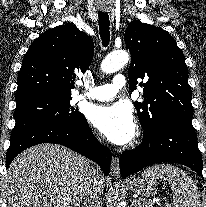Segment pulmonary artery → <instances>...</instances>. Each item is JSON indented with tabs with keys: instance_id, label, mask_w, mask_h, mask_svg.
<instances>
[{
	"instance_id": "e3ab8cb5",
	"label": "pulmonary artery",
	"mask_w": 206,
	"mask_h": 207,
	"mask_svg": "<svg viewBox=\"0 0 206 207\" xmlns=\"http://www.w3.org/2000/svg\"><path fill=\"white\" fill-rule=\"evenodd\" d=\"M125 82V77L122 74H117L113 77L112 83L90 89L86 97L100 101L112 99L116 96L119 89L125 85Z\"/></svg>"
}]
</instances>
